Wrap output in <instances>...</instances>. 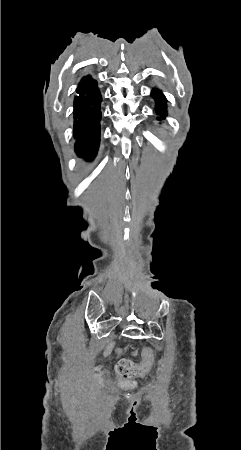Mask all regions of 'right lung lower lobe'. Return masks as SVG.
<instances>
[{"mask_svg":"<svg viewBox=\"0 0 241 450\" xmlns=\"http://www.w3.org/2000/svg\"><path fill=\"white\" fill-rule=\"evenodd\" d=\"M101 102L97 81L84 76L76 89L73 114L75 151L85 161L93 160L99 149Z\"/></svg>","mask_w":241,"mask_h":450,"instance_id":"obj_1","label":"right lung lower lobe"}]
</instances>
